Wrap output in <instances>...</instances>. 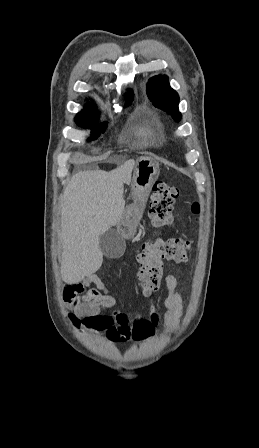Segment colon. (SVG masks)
Here are the masks:
<instances>
[{"instance_id":"colon-1","label":"colon","mask_w":259,"mask_h":448,"mask_svg":"<svg viewBox=\"0 0 259 448\" xmlns=\"http://www.w3.org/2000/svg\"><path fill=\"white\" fill-rule=\"evenodd\" d=\"M178 196V188L165 181H158L152 191L149 218L156 228H164L173 223V205ZM200 207L193 203L192 212L198 214ZM186 239L176 237L157 239L143 244L137 256L139 264L138 283L145 295L157 291L162 282L165 263H183L189 250ZM72 320H78L72 316Z\"/></svg>"}]
</instances>
